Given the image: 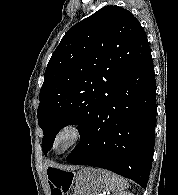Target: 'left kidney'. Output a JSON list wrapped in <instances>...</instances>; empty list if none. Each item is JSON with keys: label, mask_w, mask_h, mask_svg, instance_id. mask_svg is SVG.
Returning a JSON list of instances; mask_svg holds the SVG:
<instances>
[{"label": "left kidney", "mask_w": 178, "mask_h": 195, "mask_svg": "<svg viewBox=\"0 0 178 195\" xmlns=\"http://www.w3.org/2000/svg\"><path fill=\"white\" fill-rule=\"evenodd\" d=\"M116 195H133V194L130 192H120L119 194Z\"/></svg>", "instance_id": "obj_1"}]
</instances>
